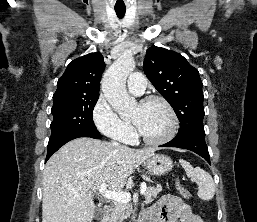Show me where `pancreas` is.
<instances>
[{"instance_id": "1", "label": "pancreas", "mask_w": 257, "mask_h": 222, "mask_svg": "<svg viewBox=\"0 0 257 222\" xmlns=\"http://www.w3.org/2000/svg\"><path fill=\"white\" fill-rule=\"evenodd\" d=\"M160 190L161 189L159 187H154V186L147 187L146 192L144 194L145 202L151 203L156 198ZM131 212H132V207L130 204L116 202L111 211L108 222H123L124 219H127L128 217H130Z\"/></svg>"}]
</instances>
